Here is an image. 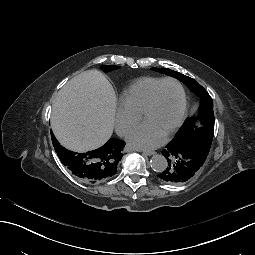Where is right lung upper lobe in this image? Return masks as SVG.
Returning a JSON list of instances; mask_svg holds the SVG:
<instances>
[{
  "mask_svg": "<svg viewBox=\"0 0 255 255\" xmlns=\"http://www.w3.org/2000/svg\"><path fill=\"white\" fill-rule=\"evenodd\" d=\"M53 146L61 162L72 174L87 183H102L112 178L117 173V166L122 157L125 142L111 138L99 149L87 153H76L61 146L55 136L51 134ZM91 155L100 161V176L98 178L86 179L83 177V158Z\"/></svg>",
  "mask_w": 255,
  "mask_h": 255,
  "instance_id": "right-lung-upper-lobe-1",
  "label": "right lung upper lobe"
}]
</instances>
